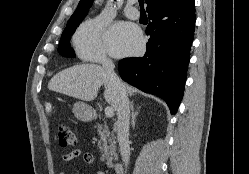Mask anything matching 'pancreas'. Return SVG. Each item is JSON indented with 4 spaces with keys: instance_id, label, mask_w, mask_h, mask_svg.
<instances>
[{
    "instance_id": "pancreas-1",
    "label": "pancreas",
    "mask_w": 249,
    "mask_h": 174,
    "mask_svg": "<svg viewBox=\"0 0 249 174\" xmlns=\"http://www.w3.org/2000/svg\"><path fill=\"white\" fill-rule=\"evenodd\" d=\"M97 132L100 136L99 149L102 153L101 160L106 161L109 167H112V160L116 158V140L114 133L111 132L108 126L98 124L95 126Z\"/></svg>"
}]
</instances>
